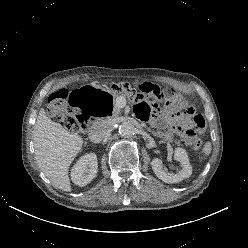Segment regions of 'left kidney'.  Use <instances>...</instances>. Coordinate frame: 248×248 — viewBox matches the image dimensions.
Instances as JSON below:
<instances>
[{"label": "left kidney", "instance_id": "obj_1", "mask_svg": "<svg viewBox=\"0 0 248 248\" xmlns=\"http://www.w3.org/2000/svg\"><path fill=\"white\" fill-rule=\"evenodd\" d=\"M174 159L180 162L181 170L175 174H169L163 170V165L160 159L154 158L151 161V166L156 176L165 183H177L185 178H189L192 174V166L189 162L186 150L176 148L174 151Z\"/></svg>", "mask_w": 248, "mask_h": 248}]
</instances>
